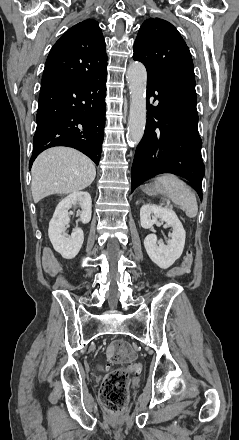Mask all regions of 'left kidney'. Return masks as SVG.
Masks as SVG:
<instances>
[{
  "label": "left kidney",
  "mask_w": 239,
  "mask_h": 440,
  "mask_svg": "<svg viewBox=\"0 0 239 440\" xmlns=\"http://www.w3.org/2000/svg\"><path fill=\"white\" fill-rule=\"evenodd\" d=\"M158 220L166 222V226H171L172 234H169L172 238L171 242L165 246L162 242H157L156 234H149L144 240V246L150 260L162 270H167L180 258L184 250L186 232L173 210L160 208L155 204H144L140 210L142 228L145 230L153 228V224H159Z\"/></svg>",
  "instance_id": "obj_1"
}]
</instances>
